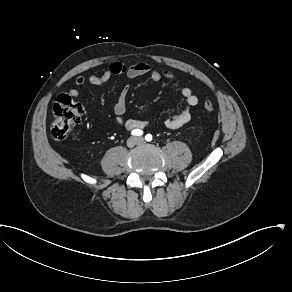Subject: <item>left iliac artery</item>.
Masks as SVG:
<instances>
[{"label":"left iliac artery","mask_w":292,"mask_h":292,"mask_svg":"<svg viewBox=\"0 0 292 292\" xmlns=\"http://www.w3.org/2000/svg\"><path fill=\"white\" fill-rule=\"evenodd\" d=\"M145 140H146V141H151V140H152V135H151V134H147V135L145 136Z\"/></svg>","instance_id":"1"}]
</instances>
